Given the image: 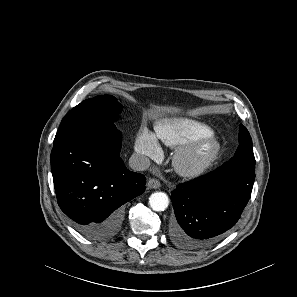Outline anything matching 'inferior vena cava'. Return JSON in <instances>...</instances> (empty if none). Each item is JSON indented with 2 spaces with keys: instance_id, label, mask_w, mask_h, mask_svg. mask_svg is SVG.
<instances>
[{
  "instance_id": "1",
  "label": "inferior vena cava",
  "mask_w": 297,
  "mask_h": 297,
  "mask_svg": "<svg viewBox=\"0 0 297 297\" xmlns=\"http://www.w3.org/2000/svg\"><path fill=\"white\" fill-rule=\"evenodd\" d=\"M129 166L134 171H144L150 166V160L148 157L140 154H133L129 158Z\"/></svg>"
}]
</instances>
